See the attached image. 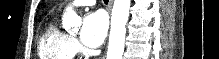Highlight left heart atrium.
<instances>
[{
	"label": "left heart atrium",
	"mask_w": 219,
	"mask_h": 59,
	"mask_svg": "<svg viewBox=\"0 0 219 59\" xmlns=\"http://www.w3.org/2000/svg\"><path fill=\"white\" fill-rule=\"evenodd\" d=\"M108 20L101 11L88 13L83 20L80 34L84 45L94 48L100 46L107 34Z\"/></svg>",
	"instance_id": "39dd6f15"
}]
</instances>
